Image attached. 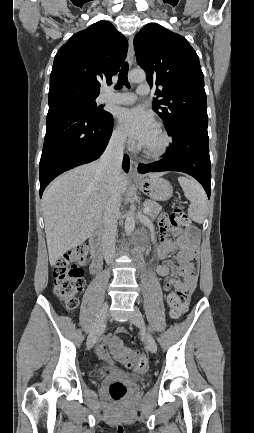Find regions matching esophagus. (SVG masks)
<instances>
[{
	"mask_svg": "<svg viewBox=\"0 0 254 433\" xmlns=\"http://www.w3.org/2000/svg\"><path fill=\"white\" fill-rule=\"evenodd\" d=\"M133 39L134 37L131 35L129 37V47H128V62L130 66L133 64L134 60V47H133ZM138 163L136 160L131 159L130 161V170H129V176L131 178H139V174L137 172Z\"/></svg>",
	"mask_w": 254,
	"mask_h": 433,
	"instance_id": "1",
	"label": "esophagus"
}]
</instances>
